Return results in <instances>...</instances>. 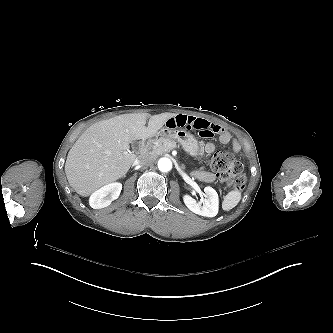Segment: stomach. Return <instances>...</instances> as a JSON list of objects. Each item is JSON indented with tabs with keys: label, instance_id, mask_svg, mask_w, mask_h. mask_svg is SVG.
Returning <instances> with one entry per match:
<instances>
[{
	"label": "stomach",
	"instance_id": "obj_1",
	"mask_svg": "<svg viewBox=\"0 0 333 333\" xmlns=\"http://www.w3.org/2000/svg\"><path fill=\"white\" fill-rule=\"evenodd\" d=\"M158 134L165 137L174 136L175 139L179 141L184 149L192 156H204L198 140L188 132H183L179 129L165 126L159 131Z\"/></svg>",
	"mask_w": 333,
	"mask_h": 333
}]
</instances>
